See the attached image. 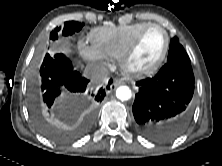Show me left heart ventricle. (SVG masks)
Masks as SVG:
<instances>
[{"instance_id": "b2bd125f", "label": "left heart ventricle", "mask_w": 222, "mask_h": 166, "mask_svg": "<svg viewBox=\"0 0 222 166\" xmlns=\"http://www.w3.org/2000/svg\"><path fill=\"white\" fill-rule=\"evenodd\" d=\"M165 43L161 29L151 28L141 38L136 49L129 58L128 64L132 69H145L153 65L159 58Z\"/></svg>"}]
</instances>
